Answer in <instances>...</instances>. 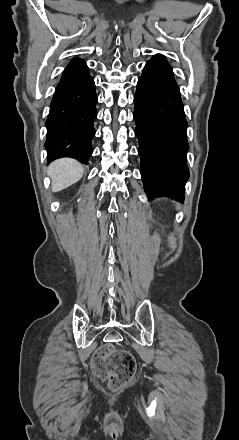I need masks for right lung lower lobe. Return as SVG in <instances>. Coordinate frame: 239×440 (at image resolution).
Returning a JSON list of instances; mask_svg holds the SVG:
<instances>
[{
  "instance_id": "1",
  "label": "right lung lower lobe",
  "mask_w": 239,
  "mask_h": 440,
  "mask_svg": "<svg viewBox=\"0 0 239 440\" xmlns=\"http://www.w3.org/2000/svg\"><path fill=\"white\" fill-rule=\"evenodd\" d=\"M97 100L95 83L86 63L73 59L56 87L46 120L48 161L71 157L88 164Z\"/></svg>"
}]
</instances>
